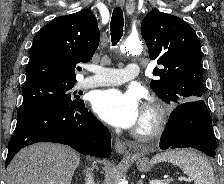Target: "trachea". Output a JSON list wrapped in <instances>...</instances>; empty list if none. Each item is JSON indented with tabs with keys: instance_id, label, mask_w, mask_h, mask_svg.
<instances>
[{
	"instance_id": "obj_1",
	"label": "trachea",
	"mask_w": 224,
	"mask_h": 184,
	"mask_svg": "<svg viewBox=\"0 0 224 184\" xmlns=\"http://www.w3.org/2000/svg\"><path fill=\"white\" fill-rule=\"evenodd\" d=\"M124 18L123 11L120 7H116L112 13L110 22L111 41L115 46L123 35Z\"/></svg>"
}]
</instances>
